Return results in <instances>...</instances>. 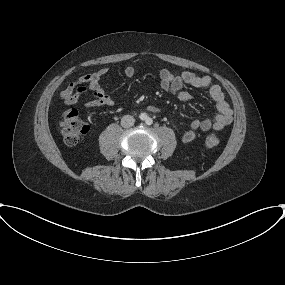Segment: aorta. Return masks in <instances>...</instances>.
<instances>
[{"mask_svg": "<svg viewBox=\"0 0 285 285\" xmlns=\"http://www.w3.org/2000/svg\"><path fill=\"white\" fill-rule=\"evenodd\" d=\"M141 119H142V120H147V119H148V117H147V115H146V114H142V115H141Z\"/></svg>", "mask_w": 285, "mask_h": 285, "instance_id": "aorta-1", "label": "aorta"}]
</instances>
